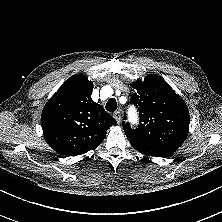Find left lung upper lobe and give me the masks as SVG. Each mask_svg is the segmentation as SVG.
I'll list each match as a JSON object with an SVG mask.
<instances>
[{"instance_id": "left-lung-upper-lobe-1", "label": "left lung upper lobe", "mask_w": 222, "mask_h": 222, "mask_svg": "<svg viewBox=\"0 0 222 222\" xmlns=\"http://www.w3.org/2000/svg\"><path fill=\"white\" fill-rule=\"evenodd\" d=\"M133 87L136 92L130 101L138 107L142 123L132 129L123 122L130 143L179 148L187 138L190 121L183 99L157 75H149L144 81L138 80L133 83Z\"/></svg>"}]
</instances>
